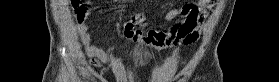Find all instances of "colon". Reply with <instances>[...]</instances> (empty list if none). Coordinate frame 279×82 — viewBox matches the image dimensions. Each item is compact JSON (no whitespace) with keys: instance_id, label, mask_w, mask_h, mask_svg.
Here are the masks:
<instances>
[{"instance_id":"5ec220e1","label":"colon","mask_w":279,"mask_h":82,"mask_svg":"<svg viewBox=\"0 0 279 82\" xmlns=\"http://www.w3.org/2000/svg\"><path fill=\"white\" fill-rule=\"evenodd\" d=\"M207 2L209 3H212V4H215L218 2V0H206ZM134 28L138 27L140 25V19L139 18H135L134 20L132 21H129Z\"/></svg>"}]
</instances>
